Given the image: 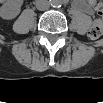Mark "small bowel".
<instances>
[{"instance_id":"obj_1","label":"small bowel","mask_w":103,"mask_h":103,"mask_svg":"<svg viewBox=\"0 0 103 103\" xmlns=\"http://www.w3.org/2000/svg\"><path fill=\"white\" fill-rule=\"evenodd\" d=\"M77 7L86 14L92 15L94 13L92 2H81L77 5Z\"/></svg>"}]
</instances>
